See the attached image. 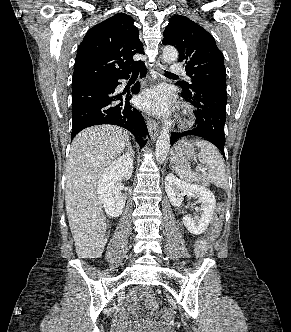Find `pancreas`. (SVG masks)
Masks as SVG:
<instances>
[{
	"mask_svg": "<svg viewBox=\"0 0 291 332\" xmlns=\"http://www.w3.org/2000/svg\"><path fill=\"white\" fill-rule=\"evenodd\" d=\"M204 185H208V183L206 181L203 182Z\"/></svg>",
	"mask_w": 291,
	"mask_h": 332,
	"instance_id": "1",
	"label": "pancreas"
}]
</instances>
